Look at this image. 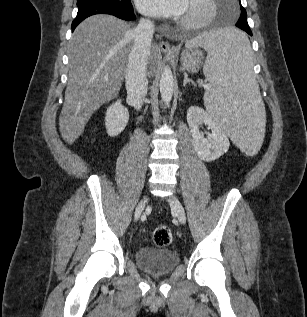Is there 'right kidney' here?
I'll use <instances>...</instances> for the list:
<instances>
[{
	"mask_svg": "<svg viewBox=\"0 0 307 317\" xmlns=\"http://www.w3.org/2000/svg\"><path fill=\"white\" fill-rule=\"evenodd\" d=\"M129 120V111L118 99L107 108L105 126L109 136L119 135L126 127Z\"/></svg>",
	"mask_w": 307,
	"mask_h": 317,
	"instance_id": "ca27d5eb",
	"label": "right kidney"
}]
</instances>
